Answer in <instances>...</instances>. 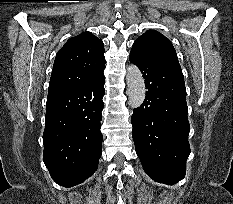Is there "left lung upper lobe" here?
Instances as JSON below:
<instances>
[{"label":"left lung upper lobe","mask_w":233,"mask_h":204,"mask_svg":"<svg viewBox=\"0 0 233 204\" xmlns=\"http://www.w3.org/2000/svg\"><path fill=\"white\" fill-rule=\"evenodd\" d=\"M131 51L172 67L181 68L171 42L161 33L149 30L133 44Z\"/></svg>","instance_id":"left-lung-upper-lobe-1"}]
</instances>
